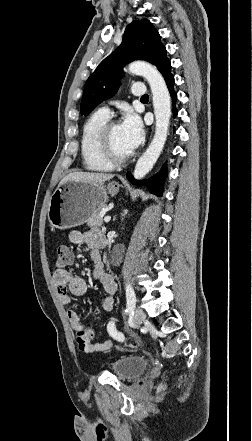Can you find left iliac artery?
<instances>
[{
    "instance_id": "left-iliac-artery-1",
    "label": "left iliac artery",
    "mask_w": 252,
    "mask_h": 441,
    "mask_svg": "<svg viewBox=\"0 0 252 441\" xmlns=\"http://www.w3.org/2000/svg\"><path fill=\"white\" fill-rule=\"evenodd\" d=\"M126 299H127V307L125 310V313L133 312V309L135 307L136 303V296L134 293V290L130 284L126 285ZM107 330L112 335V339L115 342H122L125 339L126 333L123 330H119V328L116 327L114 322L109 321L106 324Z\"/></svg>"
}]
</instances>
